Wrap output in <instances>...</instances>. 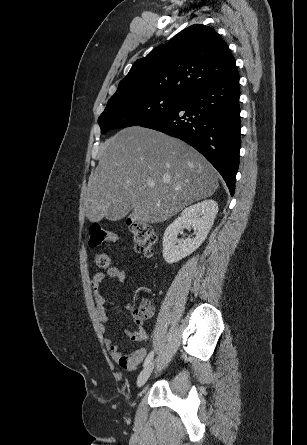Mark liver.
<instances>
[{
	"mask_svg": "<svg viewBox=\"0 0 307 445\" xmlns=\"http://www.w3.org/2000/svg\"><path fill=\"white\" fill-rule=\"evenodd\" d=\"M218 186L217 170L193 146L152 128L128 126L100 144L88 180L87 216L99 223L108 212L116 220L132 210L134 220L164 223Z\"/></svg>",
	"mask_w": 307,
	"mask_h": 445,
	"instance_id": "liver-1",
	"label": "liver"
}]
</instances>
